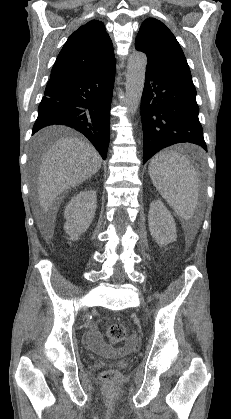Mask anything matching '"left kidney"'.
Instances as JSON below:
<instances>
[{
    "mask_svg": "<svg viewBox=\"0 0 231 419\" xmlns=\"http://www.w3.org/2000/svg\"><path fill=\"white\" fill-rule=\"evenodd\" d=\"M151 236L161 246L176 241V224L171 213L160 200L152 201L148 214Z\"/></svg>",
    "mask_w": 231,
    "mask_h": 419,
    "instance_id": "1",
    "label": "left kidney"
}]
</instances>
